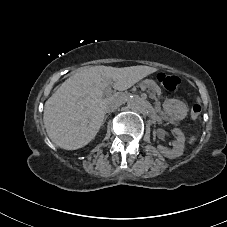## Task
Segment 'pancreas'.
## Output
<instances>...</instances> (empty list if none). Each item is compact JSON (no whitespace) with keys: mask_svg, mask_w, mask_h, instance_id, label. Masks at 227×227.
<instances>
[{"mask_svg":"<svg viewBox=\"0 0 227 227\" xmlns=\"http://www.w3.org/2000/svg\"><path fill=\"white\" fill-rule=\"evenodd\" d=\"M142 86L146 89V90H149V91H151V98H152V100H153V104H154V109L157 111V114H160V116L162 117V118H164L165 119V121L167 122H170L173 126H175L177 123L172 119V118H168L167 119V114H166V111H163V109L162 108H159V102L157 101V99H156V91H155V89L152 87V86H150V85H147V83L145 82V81H143L142 83Z\"/></svg>","mask_w":227,"mask_h":227,"instance_id":"obj_1","label":"pancreas"}]
</instances>
